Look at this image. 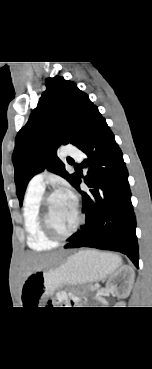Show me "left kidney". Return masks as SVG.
Instances as JSON below:
<instances>
[{
  "mask_svg": "<svg viewBox=\"0 0 152 369\" xmlns=\"http://www.w3.org/2000/svg\"><path fill=\"white\" fill-rule=\"evenodd\" d=\"M121 277L124 279V285L123 289L121 291H118L114 281L115 279ZM134 277V270L130 266H123L117 272H115L113 276L109 278L106 283V288L111 292H115L119 298H126L130 294V291L132 289Z\"/></svg>",
  "mask_w": 152,
  "mask_h": 369,
  "instance_id": "5707ae66",
  "label": "left kidney"
}]
</instances>
